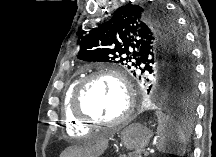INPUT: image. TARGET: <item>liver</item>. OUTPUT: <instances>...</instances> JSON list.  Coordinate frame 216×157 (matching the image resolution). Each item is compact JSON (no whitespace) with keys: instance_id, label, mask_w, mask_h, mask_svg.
Instances as JSON below:
<instances>
[{"instance_id":"6515ba94","label":"liver","mask_w":216,"mask_h":157,"mask_svg":"<svg viewBox=\"0 0 216 157\" xmlns=\"http://www.w3.org/2000/svg\"><path fill=\"white\" fill-rule=\"evenodd\" d=\"M108 146L104 137H97L84 146H74L66 149L61 157H98Z\"/></svg>"}]
</instances>
